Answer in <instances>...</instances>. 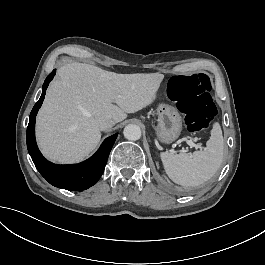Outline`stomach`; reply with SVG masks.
I'll return each instance as SVG.
<instances>
[{"label": "stomach", "instance_id": "1", "mask_svg": "<svg viewBox=\"0 0 265 265\" xmlns=\"http://www.w3.org/2000/svg\"><path fill=\"white\" fill-rule=\"evenodd\" d=\"M158 124L155 126V136L162 144H171L179 138L182 131V117L176 108L161 105L157 110Z\"/></svg>", "mask_w": 265, "mask_h": 265}]
</instances>
